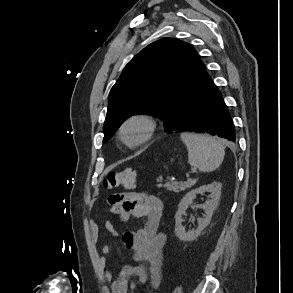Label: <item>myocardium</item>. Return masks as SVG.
Here are the masks:
<instances>
[{
	"label": "myocardium",
	"instance_id": "1",
	"mask_svg": "<svg viewBox=\"0 0 293 293\" xmlns=\"http://www.w3.org/2000/svg\"><path fill=\"white\" fill-rule=\"evenodd\" d=\"M132 123H140L144 126L143 136L134 142H129L125 138V129ZM157 129L156 121L153 117L145 114H136L128 117L120 126L119 135L125 145L134 148L147 143L155 134Z\"/></svg>",
	"mask_w": 293,
	"mask_h": 293
}]
</instances>
